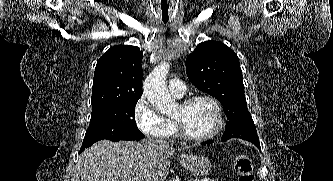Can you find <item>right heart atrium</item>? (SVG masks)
<instances>
[{
	"label": "right heart atrium",
	"instance_id": "1",
	"mask_svg": "<svg viewBox=\"0 0 333 181\" xmlns=\"http://www.w3.org/2000/svg\"><path fill=\"white\" fill-rule=\"evenodd\" d=\"M133 117L139 130L149 137L168 139L176 130V124L159 114L145 96H141L136 101Z\"/></svg>",
	"mask_w": 333,
	"mask_h": 181
}]
</instances>
